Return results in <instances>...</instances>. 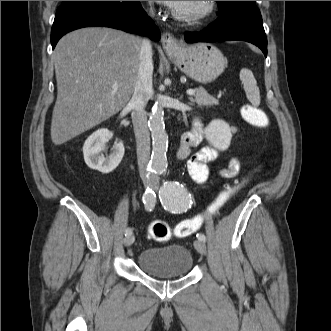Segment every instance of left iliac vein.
Instances as JSON below:
<instances>
[{"label": "left iliac vein", "instance_id": "1", "mask_svg": "<svg viewBox=\"0 0 331 331\" xmlns=\"http://www.w3.org/2000/svg\"><path fill=\"white\" fill-rule=\"evenodd\" d=\"M153 189L157 190L159 187V182L157 178H153L151 181ZM194 247L195 249L202 255L206 254V245L202 240H195L194 241Z\"/></svg>", "mask_w": 331, "mask_h": 331}]
</instances>
